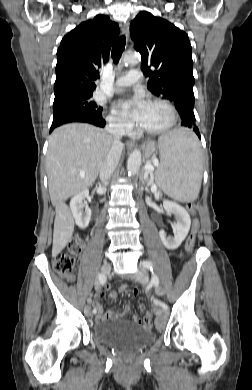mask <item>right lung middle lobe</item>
I'll list each match as a JSON object with an SVG mask.
<instances>
[{
  "instance_id": "obj_1",
  "label": "right lung middle lobe",
  "mask_w": 252,
  "mask_h": 390,
  "mask_svg": "<svg viewBox=\"0 0 252 390\" xmlns=\"http://www.w3.org/2000/svg\"><path fill=\"white\" fill-rule=\"evenodd\" d=\"M92 94L77 95L54 101L53 113L81 112L94 116H101L102 108L91 100Z\"/></svg>"
}]
</instances>
